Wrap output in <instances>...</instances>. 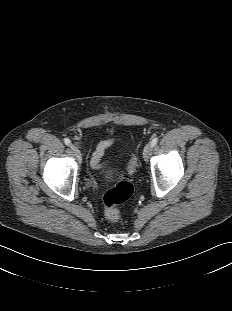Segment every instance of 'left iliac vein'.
<instances>
[{"instance_id": "left-iliac-vein-1", "label": "left iliac vein", "mask_w": 232, "mask_h": 311, "mask_svg": "<svg viewBox=\"0 0 232 311\" xmlns=\"http://www.w3.org/2000/svg\"><path fill=\"white\" fill-rule=\"evenodd\" d=\"M151 153H152V145L147 144L143 150V157H144L145 161L149 160Z\"/></svg>"}]
</instances>
